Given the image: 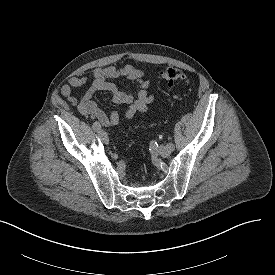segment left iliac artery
I'll return each mask as SVG.
<instances>
[{"label":"left iliac artery","instance_id":"obj_1","mask_svg":"<svg viewBox=\"0 0 275 275\" xmlns=\"http://www.w3.org/2000/svg\"><path fill=\"white\" fill-rule=\"evenodd\" d=\"M167 146L171 149L174 150V145L172 143H168Z\"/></svg>","mask_w":275,"mask_h":275}]
</instances>
